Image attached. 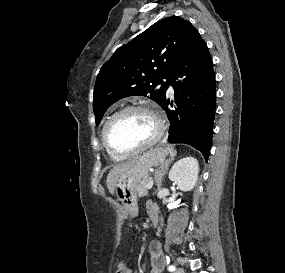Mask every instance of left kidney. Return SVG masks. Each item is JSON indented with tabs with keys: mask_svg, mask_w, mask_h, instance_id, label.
I'll return each instance as SVG.
<instances>
[{
	"mask_svg": "<svg viewBox=\"0 0 285 273\" xmlns=\"http://www.w3.org/2000/svg\"><path fill=\"white\" fill-rule=\"evenodd\" d=\"M199 173L198 161L193 157H186L176 162L169 172V179L177 184L181 191L193 189Z\"/></svg>",
	"mask_w": 285,
	"mask_h": 273,
	"instance_id": "left-kidney-1",
	"label": "left kidney"
}]
</instances>
